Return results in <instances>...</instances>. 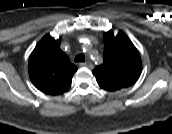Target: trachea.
Here are the masks:
<instances>
[{
    "mask_svg": "<svg viewBox=\"0 0 172 134\" xmlns=\"http://www.w3.org/2000/svg\"><path fill=\"white\" fill-rule=\"evenodd\" d=\"M85 61V56L83 54H78L75 57V62H84Z\"/></svg>",
    "mask_w": 172,
    "mask_h": 134,
    "instance_id": "1",
    "label": "trachea"
}]
</instances>
